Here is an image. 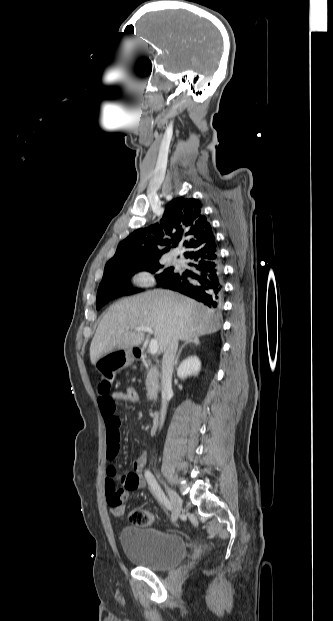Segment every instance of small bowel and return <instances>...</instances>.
<instances>
[{
  "instance_id": "1",
  "label": "small bowel",
  "mask_w": 333,
  "mask_h": 621,
  "mask_svg": "<svg viewBox=\"0 0 333 621\" xmlns=\"http://www.w3.org/2000/svg\"><path fill=\"white\" fill-rule=\"evenodd\" d=\"M117 401H122V391L110 394V383L103 380L99 385L98 405L106 428L108 461H113L119 452L121 423L116 414ZM145 464L146 456L143 454L133 461L131 470L125 474L131 480L130 486L119 487L115 476L109 470L106 478V496L111 510L115 507L124 509L129 494L144 486L142 472Z\"/></svg>"
}]
</instances>
